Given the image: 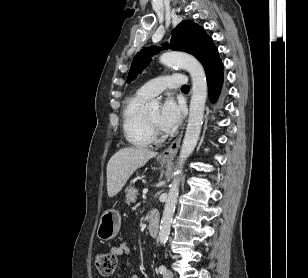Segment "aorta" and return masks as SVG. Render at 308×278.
<instances>
[{
    "label": "aorta",
    "mask_w": 308,
    "mask_h": 278,
    "mask_svg": "<svg viewBox=\"0 0 308 278\" xmlns=\"http://www.w3.org/2000/svg\"><path fill=\"white\" fill-rule=\"evenodd\" d=\"M160 62L165 65H174L185 69L190 74L192 81V96L188 124L179 155V166L181 168L196 147L200 136L207 98L206 74L201 63L195 57L186 53H164L160 56ZM146 108L149 111H157L159 109V102L153 100L146 105ZM180 173L181 170L178 169L175 174L179 175ZM178 193L179 179L176 177L170 186L160 224L159 241L161 244H165L168 240Z\"/></svg>",
    "instance_id": "aorta-1"
}]
</instances>
